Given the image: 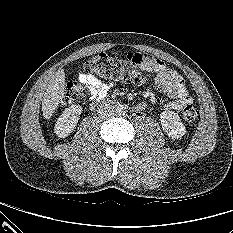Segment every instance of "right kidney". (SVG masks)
Instances as JSON below:
<instances>
[{"instance_id": "right-kidney-1", "label": "right kidney", "mask_w": 233, "mask_h": 233, "mask_svg": "<svg viewBox=\"0 0 233 233\" xmlns=\"http://www.w3.org/2000/svg\"><path fill=\"white\" fill-rule=\"evenodd\" d=\"M81 112L82 107L79 105H71L65 109L55 124L54 131L58 137L64 138L75 129Z\"/></svg>"}]
</instances>
